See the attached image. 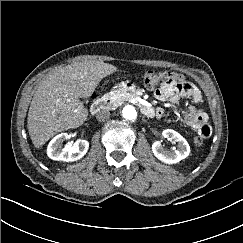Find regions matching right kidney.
<instances>
[{
    "mask_svg": "<svg viewBox=\"0 0 243 243\" xmlns=\"http://www.w3.org/2000/svg\"><path fill=\"white\" fill-rule=\"evenodd\" d=\"M66 139H68V134L61 133L50 141L47 147V155L49 158L57 161L72 162L81 159L87 153L89 148L88 141L77 140L62 148V143Z\"/></svg>",
    "mask_w": 243,
    "mask_h": 243,
    "instance_id": "obj_1",
    "label": "right kidney"
}]
</instances>
